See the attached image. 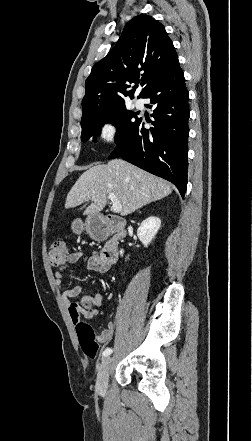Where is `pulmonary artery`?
Segmentation results:
<instances>
[{
  "instance_id": "1",
  "label": "pulmonary artery",
  "mask_w": 252,
  "mask_h": 441,
  "mask_svg": "<svg viewBox=\"0 0 252 441\" xmlns=\"http://www.w3.org/2000/svg\"><path fill=\"white\" fill-rule=\"evenodd\" d=\"M134 105L136 108L141 109L143 108V102L141 100H135Z\"/></svg>"
}]
</instances>
